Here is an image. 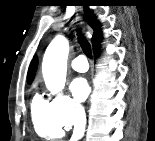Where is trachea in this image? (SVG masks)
Instances as JSON below:
<instances>
[{"mask_svg":"<svg viewBox=\"0 0 155 141\" xmlns=\"http://www.w3.org/2000/svg\"><path fill=\"white\" fill-rule=\"evenodd\" d=\"M78 39H79V43H80V45L82 47V50H83L84 54L88 58H91L92 57L91 46L87 42V40H85V38L83 37V35L80 32L78 33Z\"/></svg>","mask_w":155,"mask_h":141,"instance_id":"1","label":"trachea"}]
</instances>
